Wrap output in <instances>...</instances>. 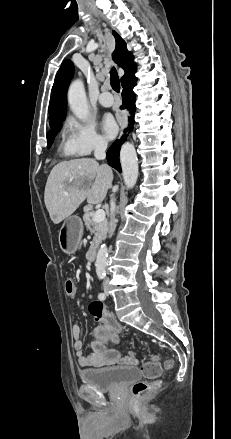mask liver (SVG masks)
I'll return each instance as SVG.
<instances>
[{"label": "liver", "instance_id": "1", "mask_svg": "<svg viewBox=\"0 0 231 439\" xmlns=\"http://www.w3.org/2000/svg\"><path fill=\"white\" fill-rule=\"evenodd\" d=\"M113 180L112 169L92 158L62 161L51 170L44 192L45 206L54 224L73 214L86 199L101 203Z\"/></svg>", "mask_w": 231, "mask_h": 439}]
</instances>
